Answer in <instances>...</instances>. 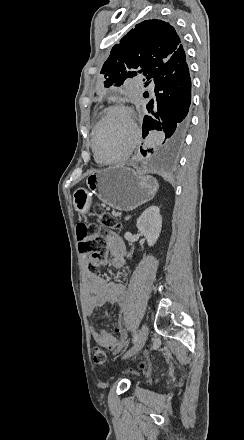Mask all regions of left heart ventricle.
Here are the masks:
<instances>
[{
	"mask_svg": "<svg viewBox=\"0 0 244 440\" xmlns=\"http://www.w3.org/2000/svg\"><path fill=\"white\" fill-rule=\"evenodd\" d=\"M136 131L132 116L120 111H112L103 130L99 133L97 151L102 157H109L123 139L131 137Z\"/></svg>",
	"mask_w": 244,
	"mask_h": 440,
	"instance_id": "obj_1",
	"label": "left heart ventricle"
}]
</instances>
